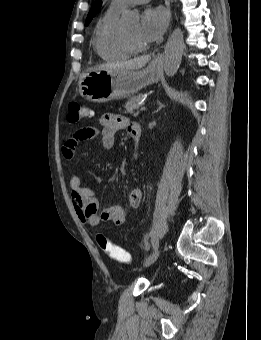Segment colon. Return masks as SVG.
<instances>
[{
  "label": "colon",
  "instance_id": "1",
  "mask_svg": "<svg viewBox=\"0 0 261 340\" xmlns=\"http://www.w3.org/2000/svg\"><path fill=\"white\" fill-rule=\"evenodd\" d=\"M91 116V110L83 104L71 102L68 106L67 120L70 123H78ZM96 242L100 249L110 258L124 264H129L131 255L122 247L112 243L104 234H96Z\"/></svg>",
  "mask_w": 261,
  "mask_h": 340
}]
</instances>
